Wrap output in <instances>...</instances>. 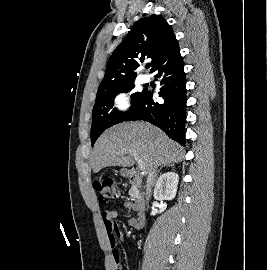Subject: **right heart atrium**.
Segmentation results:
<instances>
[{"label":"right heart atrium","instance_id":"obj_1","mask_svg":"<svg viewBox=\"0 0 267 270\" xmlns=\"http://www.w3.org/2000/svg\"><path fill=\"white\" fill-rule=\"evenodd\" d=\"M113 110L118 113H124L130 108V97L125 91H118L112 98Z\"/></svg>","mask_w":267,"mask_h":270}]
</instances>
